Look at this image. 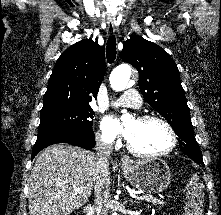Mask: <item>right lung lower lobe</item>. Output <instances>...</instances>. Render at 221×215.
I'll return each instance as SVG.
<instances>
[{
  "instance_id": "obj_1",
  "label": "right lung lower lobe",
  "mask_w": 221,
  "mask_h": 215,
  "mask_svg": "<svg viewBox=\"0 0 221 215\" xmlns=\"http://www.w3.org/2000/svg\"><path fill=\"white\" fill-rule=\"evenodd\" d=\"M56 143H68L85 149L95 146V136L92 129L82 131H65L38 136L32 152V159L45 147Z\"/></svg>"
}]
</instances>
